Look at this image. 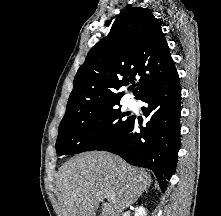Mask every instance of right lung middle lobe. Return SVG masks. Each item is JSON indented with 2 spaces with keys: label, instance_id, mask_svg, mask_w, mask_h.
Segmentation results:
<instances>
[{
  "label": "right lung middle lobe",
  "instance_id": "obj_1",
  "mask_svg": "<svg viewBox=\"0 0 221 216\" xmlns=\"http://www.w3.org/2000/svg\"><path fill=\"white\" fill-rule=\"evenodd\" d=\"M117 105L96 108L72 119H62L56 141L58 156L101 150L111 144L131 121Z\"/></svg>",
  "mask_w": 221,
  "mask_h": 216
}]
</instances>
